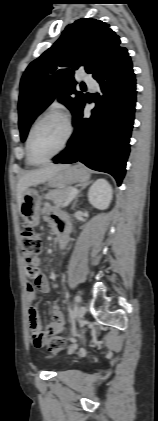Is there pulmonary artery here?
Listing matches in <instances>:
<instances>
[{"instance_id":"1","label":"pulmonary artery","mask_w":158,"mask_h":421,"mask_svg":"<svg viewBox=\"0 0 158 421\" xmlns=\"http://www.w3.org/2000/svg\"><path fill=\"white\" fill-rule=\"evenodd\" d=\"M84 82L91 90H93L96 86V81L91 77H86Z\"/></svg>"}]
</instances>
